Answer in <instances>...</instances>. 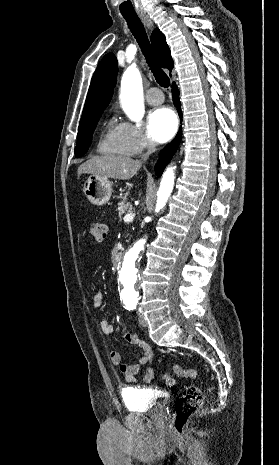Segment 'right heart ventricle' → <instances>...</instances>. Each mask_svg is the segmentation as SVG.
<instances>
[{
    "mask_svg": "<svg viewBox=\"0 0 279 465\" xmlns=\"http://www.w3.org/2000/svg\"><path fill=\"white\" fill-rule=\"evenodd\" d=\"M97 150L100 154L104 155H132L124 139L121 124H118L114 118L108 121L104 133L98 143Z\"/></svg>",
    "mask_w": 279,
    "mask_h": 465,
    "instance_id": "obj_1",
    "label": "right heart ventricle"
}]
</instances>
